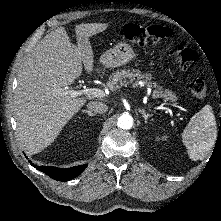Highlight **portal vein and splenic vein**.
Segmentation results:
<instances>
[{"label": "portal vein and splenic vein", "instance_id": "portal-vein-and-splenic-vein-1", "mask_svg": "<svg viewBox=\"0 0 221 221\" xmlns=\"http://www.w3.org/2000/svg\"><path fill=\"white\" fill-rule=\"evenodd\" d=\"M67 93L72 97L76 98L81 95H87V96H92V97H97V98H103L105 96V93L103 90L98 89V88H84L82 90H68Z\"/></svg>", "mask_w": 221, "mask_h": 221}]
</instances>
